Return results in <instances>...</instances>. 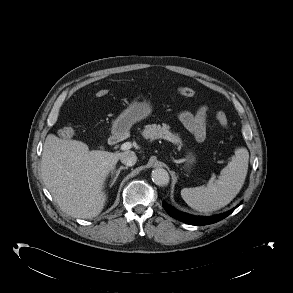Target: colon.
I'll use <instances>...</instances> for the list:
<instances>
[{"instance_id": "5ec220e1", "label": "colon", "mask_w": 293, "mask_h": 293, "mask_svg": "<svg viewBox=\"0 0 293 293\" xmlns=\"http://www.w3.org/2000/svg\"><path fill=\"white\" fill-rule=\"evenodd\" d=\"M107 94H108V90L106 89H101L96 92L97 97H103ZM178 94L184 97H193L195 95V91L189 87H180L178 89ZM216 119L223 128L228 127L229 120L225 112H223L222 110H217ZM74 133H75V130L71 126H64L59 130V135L64 139L72 138Z\"/></svg>"}]
</instances>
